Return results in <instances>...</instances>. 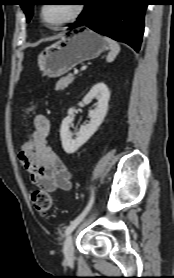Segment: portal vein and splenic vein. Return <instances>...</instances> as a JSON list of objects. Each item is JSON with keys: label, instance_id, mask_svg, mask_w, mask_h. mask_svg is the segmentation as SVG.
<instances>
[{"label": "portal vein and splenic vein", "instance_id": "portal-vein-and-splenic-vein-1", "mask_svg": "<svg viewBox=\"0 0 174 278\" xmlns=\"http://www.w3.org/2000/svg\"><path fill=\"white\" fill-rule=\"evenodd\" d=\"M78 72H79L78 69H75V70H74V74H77Z\"/></svg>", "mask_w": 174, "mask_h": 278}]
</instances>
